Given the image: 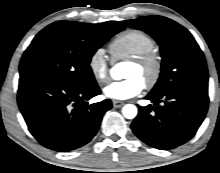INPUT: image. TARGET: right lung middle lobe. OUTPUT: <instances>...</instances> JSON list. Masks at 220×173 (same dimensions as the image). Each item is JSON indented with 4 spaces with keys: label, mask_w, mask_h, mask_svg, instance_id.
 I'll return each instance as SVG.
<instances>
[{
    "label": "right lung middle lobe",
    "mask_w": 220,
    "mask_h": 173,
    "mask_svg": "<svg viewBox=\"0 0 220 173\" xmlns=\"http://www.w3.org/2000/svg\"><path fill=\"white\" fill-rule=\"evenodd\" d=\"M123 30L116 21L87 24L58 21L44 28L26 49L20 77H48L72 86L95 83L90 61L98 48Z\"/></svg>",
    "instance_id": "1"
}]
</instances>
